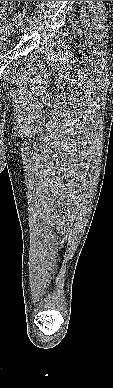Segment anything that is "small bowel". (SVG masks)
<instances>
[{
	"label": "small bowel",
	"mask_w": 113,
	"mask_h": 388,
	"mask_svg": "<svg viewBox=\"0 0 113 388\" xmlns=\"http://www.w3.org/2000/svg\"><path fill=\"white\" fill-rule=\"evenodd\" d=\"M1 2H3L4 4L2 5V4H0V22L1 21H6V22H8V18H7V15L5 14V10L7 9V8H13V6H14V1H10V2H8V1H1Z\"/></svg>",
	"instance_id": "obj_1"
}]
</instances>
